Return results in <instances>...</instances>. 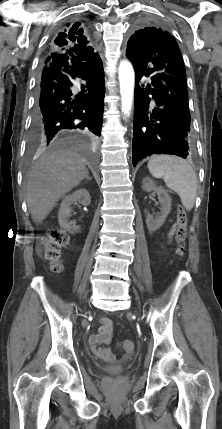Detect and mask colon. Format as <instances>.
<instances>
[{"instance_id": "5ec220e1", "label": "colon", "mask_w": 222, "mask_h": 429, "mask_svg": "<svg viewBox=\"0 0 222 429\" xmlns=\"http://www.w3.org/2000/svg\"><path fill=\"white\" fill-rule=\"evenodd\" d=\"M177 229L175 240L177 243V253L182 255L185 250V241L187 236V214L181 205L177 207ZM68 236L61 230L54 228L49 230L40 240V248L43 256L47 259L55 272L62 270L60 262V253L62 247L67 243ZM121 348L126 353L134 350V344L131 340H123L120 343Z\"/></svg>"}]
</instances>
